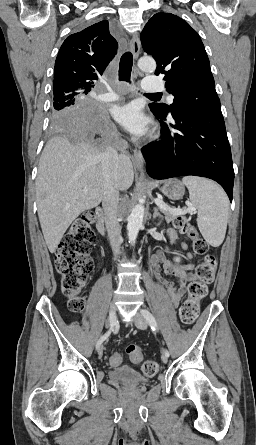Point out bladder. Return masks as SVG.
Listing matches in <instances>:
<instances>
[{
	"label": "bladder",
	"mask_w": 256,
	"mask_h": 445,
	"mask_svg": "<svg viewBox=\"0 0 256 445\" xmlns=\"http://www.w3.org/2000/svg\"><path fill=\"white\" fill-rule=\"evenodd\" d=\"M108 375L111 380L125 385L146 384L149 382V378L130 366L111 369Z\"/></svg>",
	"instance_id": "1"
}]
</instances>
